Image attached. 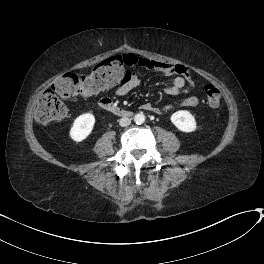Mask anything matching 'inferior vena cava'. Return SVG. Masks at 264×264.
Here are the masks:
<instances>
[{
	"instance_id": "obj_1",
	"label": "inferior vena cava",
	"mask_w": 264,
	"mask_h": 264,
	"mask_svg": "<svg viewBox=\"0 0 264 264\" xmlns=\"http://www.w3.org/2000/svg\"><path fill=\"white\" fill-rule=\"evenodd\" d=\"M130 123H131V120L128 117H123L119 120V124L122 127H126V126L130 125Z\"/></svg>"
}]
</instances>
